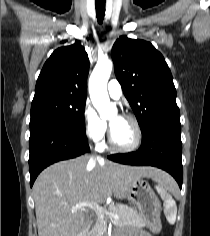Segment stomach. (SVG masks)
I'll return each instance as SVG.
<instances>
[{
	"mask_svg": "<svg viewBox=\"0 0 210 236\" xmlns=\"http://www.w3.org/2000/svg\"><path fill=\"white\" fill-rule=\"evenodd\" d=\"M126 197L139 209L149 230L159 233L162 228L161 204L150 185L141 178L136 179L130 183Z\"/></svg>",
	"mask_w": 210,
	"mask_h": 236,
	"instance_id": "stomach-1",
	"label": "stomach"
}]
</instances>
